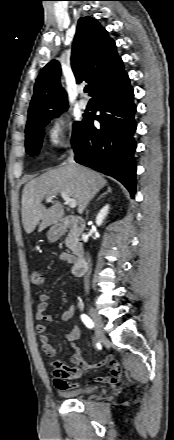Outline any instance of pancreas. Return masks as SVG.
Wrapping results in <instances>:
<instances>
[{
	"label": "pancreas",
	"instance_id": "pancreas-1",
	"mask_svg": "<svg viewBox=\"0 0 174 440\" xmlns=\"http://www.w3.org/2000/svg\"><path fill=\"white\" fill-rule=\"evenodd\" d=\"M77 241H78L77 237L74 236L72 233H69L65 239L66 246L71 250L75 249L77 245Z\"/></svg>",
	"mask_w": 174,
	"mask_h": 440
}]
</instances>
